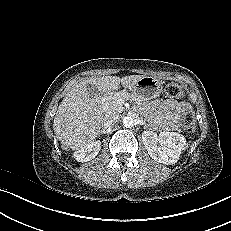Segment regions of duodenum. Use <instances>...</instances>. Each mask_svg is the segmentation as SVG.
Masks as SVG:
<instances>
[{"mask_svg": "<svg viewBox=\"0 0 231 231\" xmlns=\"http://www.w3.org/2000/svg\"><path fill=\"white\" fill-rule=\"evenodd\" d=\"M94 105L96 107H99V105H100V99L99 98H97V99L94 100Z\"/></svg>", "mask_w": 231, "mask_h": 231, "instance_id": "1", "label": "duodenum"}]
</instances>
